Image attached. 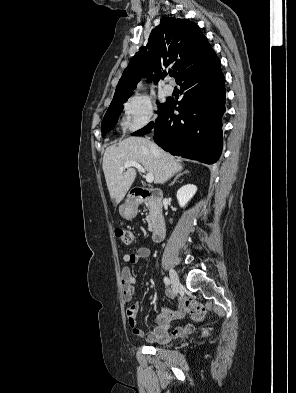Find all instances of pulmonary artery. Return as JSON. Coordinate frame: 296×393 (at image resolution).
I'll return each instance as SVG.
<instances>
[{"instance_id":"pulmonary-artery-1","label":"pulmonary artery","mask_w":296,"mask_h":393,"mask_svg":"<svg viewBox=\"0 0 296 393\" xmlns=\"http://www.w3.org/2000/svg\"><path fill=\"white\" fill-rule=\"evenodd\" d=\"M163 92H164L166 95H170V94H172V92H173V86L169 83V78H166V83H165V85L163 86Z\"/></svg>"}]
</instances>
